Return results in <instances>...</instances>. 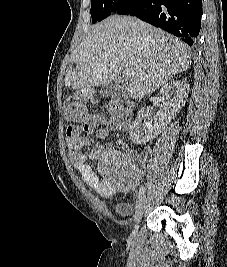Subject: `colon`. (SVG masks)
Returning a JSON list of instances; mask_svg holds the SVG:
<instances>
[{
  "label": "colon",
  "instance_id": "5ec220e1",
  "mask_svg": "<svg viewBox=\"0 0 227 267\" xmlns=\"http://www.w3.org/2000/svg\"><path fill=\"white\" fill-rule=\"evenodd\" d=\"M106 110L114 114L119 121L128 118V105L121 99H112L108 102ZM65 118L69 121L85 122L88 118V112L84 105L78 101H70L64 108Z\"/></svg>",
  "mask_w": 227,
  "mask_h": 267
}]
</instances>
